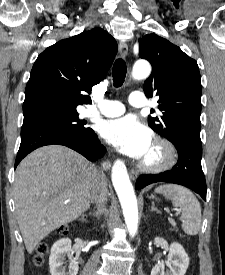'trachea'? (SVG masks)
I'll return each instance as SVG.
<instances>
[{"mask_svg": "<svg viewBox=\"0 0 225 275\" xmlns=\"http://www.w3.org/2000/svg\"><path fill=\"white\" fill-rule=\"evenodd\" d=\"M113 82L116 88L121 87L127 73L126 63L122 59H117L113 65Z\"/></svg>", "mask_w": 225, "mask_h": 275, "instance_id": "trachea-1", "label": "trachea"}]
</instances>
